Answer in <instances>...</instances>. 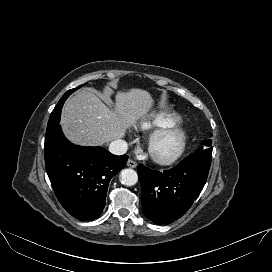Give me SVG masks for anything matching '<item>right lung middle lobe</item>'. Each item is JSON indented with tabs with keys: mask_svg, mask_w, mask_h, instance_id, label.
<instances>
[{
	"mask_svg": "<svg viewBox=\"0 0 272 272\" xmlns=\"http://www.w3.org/2000/svg\"><path fill=\"white\" fill-rule=\"evenodd\" d=\"M83 85L78 86L77 88L71 89L69 91H67L62 98L59 100L57 106L54 108L49 121H48V125H47V131L51 130L52 128L56 127L59 124V120H60V114H61V107L63 106L65 100L68 98V96L74 92L75 90H77L78 88L82 87Z\"/></svg>",
	"mask_w": 272,
	"mask_h": 272,
	"instance_id": "dd1d6c3e",
	"label": "right lung middle lobe"
}]
</instances>
